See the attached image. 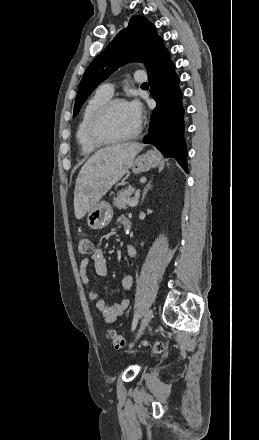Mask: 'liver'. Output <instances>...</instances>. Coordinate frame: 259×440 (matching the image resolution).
Instances as JSON below:
<instances>
[{"mask_svg": "<svg viewBox=\"0 0 259 440\" xmlns=\"http://www.w3.org/2000/svg\"><path fill=\"white\" fill-rule=\"evenodd\" d=\"M143 149L139 143L112 145L98 150L82 166L74 190V213L82 219L132 166Z\"/></svg>", "mask_w": 259, "mask_h": 440, "instance_id": "1", "label": "liver"}]
</instances>
